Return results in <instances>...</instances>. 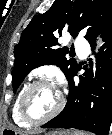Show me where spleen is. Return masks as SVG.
<instances>
[{
	"mask_svg": "<svg viewBox=\"0 0 112 135\" xmlns=\"http://www.w3.org/2000/svg\"><path fill=\"white\" fill-rule=\"evenodd\" d=\"M76 135H86V134L83 132H78V133H76Z\"/></svg>",
	"mask_w": 112,
	"mask_h": 135,
	"instance_id": "spleen-1",
	"label": "spleen"
}]
</instances>
